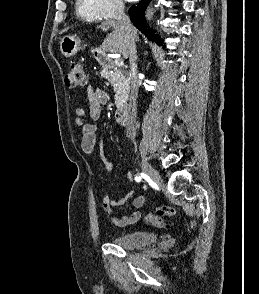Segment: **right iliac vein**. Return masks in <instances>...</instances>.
<instances>
[{
    "label": "right iliac vein",
    "instance_id": "63e3f726",
    "mask_svg": "<svg viewBox=\"0 0 259 294\" xmlns=\"http://www.w3.org/2000/svg\"><path fill=\"white\" fill-rule=\"evenodd\" d=\"M140 165H141L143 172L149 178H151L153 181H157V182L160 180L158 172L148 162L142 160L140 162Z\"/></svg>",
    "mask_w": 259,
    "mask_h": 294
}]
</instances>
